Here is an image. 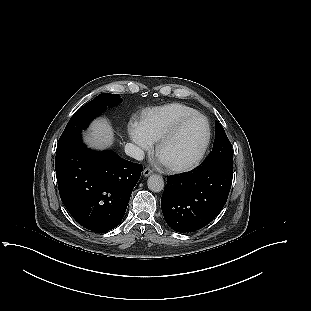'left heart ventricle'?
<instances>
[{
	"label": "left heart ventricle",
	"mask_w": 311,
	"mask_h": 311,
	"mask_svg": "<svg viewBox=\"0 0 311 311\" xmlns=\"http://www.w3.org/2000/svg\"><path fill=\"white\" fill-rule=\"evenodd\" d=\"M206 129L201 118L188 121L179 133L166 143L159 153V158L164 163L182 164L191 161L200 150Z\"/></svg>",
	"instance_id": "obj_1"
}]
</instances>
